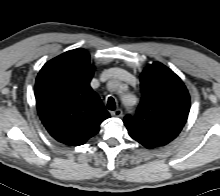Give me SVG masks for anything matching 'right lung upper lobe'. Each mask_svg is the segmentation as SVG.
Instances as JSON below:
<instances>
[{
  "label": "right lung upper lobe",
  "mask_w": 220,
  "mask_h": 196,
  "mask_svg": "<svg viewBox=\"0 0 220 196\" xmlns=\"http://www.w3.org/2000/svg\"><path fill=\"white\" fill-rule=\"evenodd\" d=\"M93 74L94 66L84 49L67 51L40 70L35 84L37 110L43 125L57 141L82 145L110 117L90 87Z\"/></svg>",
  "instance_id": "right-lung-upper-lobe-1"
}]
</instances>
